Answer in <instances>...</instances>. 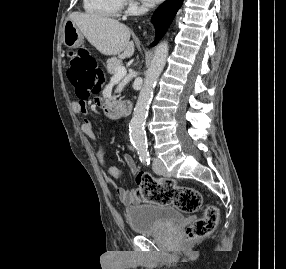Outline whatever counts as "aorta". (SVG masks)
<instances>
[{
  "label": "aorta",
  "mask_w": 286,
  "mask_h": 269,
  "mask_svg": "<svg viewBox=\"0 0 286 269\" xmlns=\"http://www.w3.org/2000/svg\"><path fill=\"white\" fill-rule=\"evenodd\" d=\"M168 50L166 41L157 45L129 124L130 140L141 157L148 156L145 122L154 87L166 64Z\"/></svg>",
  "instance_id": "1"
}]
</instances>
